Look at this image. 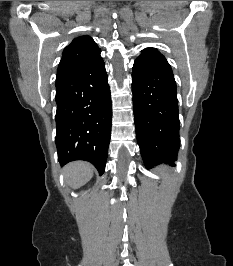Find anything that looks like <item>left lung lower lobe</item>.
I'll return each instance as SVG.
<instances>
[{"instance_id":"1","label":"left lung lower lobe","mask_w":233,"mask_h":266,"mask_svg":"<svg viewBox=\"0 0 233 266\" xmlns=\"http://www.w3.org/2000/svg\"><path fill=\"white\" fill-rule=\"evenodd\" d=\"M137 142L147 168L174 165L179 150L176 82L171 66L156 48H145L132 72Z\"/></svg>"}]
</instances>
